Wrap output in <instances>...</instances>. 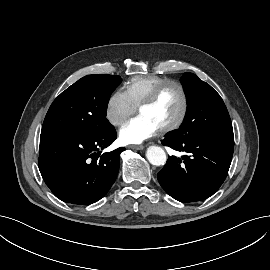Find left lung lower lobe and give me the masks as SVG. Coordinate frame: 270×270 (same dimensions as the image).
I'll return each instance as SVG.
<instances>
[{
    "instance_id": "obj_1",
    "label": "left lung lower lobe",
    "mask_w": 270,
    "mask_h": 270,
    "mask_svg": "<svg viewBox=\"0 0 270 270\" xmlns=\"http://www.w3.org/2000/svg\"><path fill=\"white\" fill-rule=\"evenodd\" d=\"M162 144L190 156L169 157L158 173L163 189L180 202H195L213 195L224 182L231 164L234 135L191 132L180 139L169 133Z\"/></svg>"
}]
</instances>
